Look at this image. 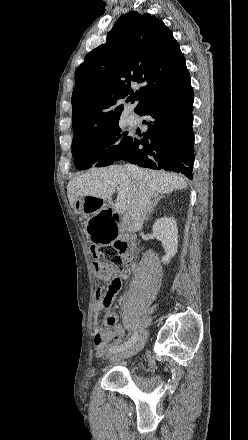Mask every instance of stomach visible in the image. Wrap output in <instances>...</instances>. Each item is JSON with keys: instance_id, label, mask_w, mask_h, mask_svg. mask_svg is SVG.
<instances>
[{"instance_id": "0dacf381", "label": "stomach", "mask_w": 248, "mask_h": 440, "mask_svg": "<svg viewBox=\"0 0 248 440\" xmlns=\"http://www.w3.org/2000/svg\"><path fill=\"white\" fill-rule=\"evenodd\" d=\"M80 197L75 202L77 218H87L86 231L90 246H109L110 241H116L118 224L112 209H101L102 200Z\"/></svg>"}]
</instances>
